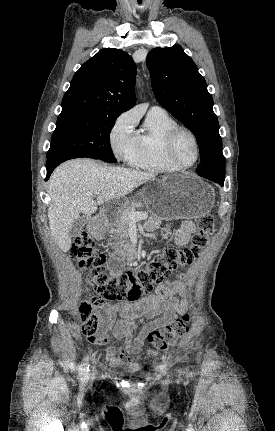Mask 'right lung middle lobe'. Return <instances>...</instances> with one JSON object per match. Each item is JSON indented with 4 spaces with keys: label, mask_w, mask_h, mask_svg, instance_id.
Returning <instances> with one entry per match:
<instances>
[{
    "label": "right lung middle lobe",
    "mask_w": 275,
    "mask_h": 431,
    "mask_svg": "<svg viewBox=\"0 0 275 431\" xmlns=\"http://www.w3.org/2000/svg\"><path fill=\"white\" fill-rule=\"evenodd\" d=\"M119 115L106 112L60 114L47 160L68 155H85L115 163L110 146V132Z\"/></svg>",
    "instance_id": "obj_1"
}]
</instances>
